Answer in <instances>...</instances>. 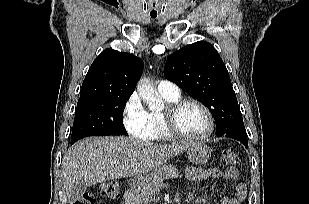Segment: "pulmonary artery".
I'll use <instances>...</instances> for the list:
<instances>
[{
  "instance_id": "1",
  "label": "pulmonary artery",
  "mask_w": 309,
  "mask_h": 204,
  "mask_svg": "<svg viewBox=\"0 0 309 204\" xmlns=\"http://www.w3.org/2000/svg\"><path fill=\"white\" fill-rule=\"evenodd\" d=\"M157 90L160 94L176 96L180 94L179 87L170 81L159 80L157 82Z\"/></svg>"
}]
</instances>
